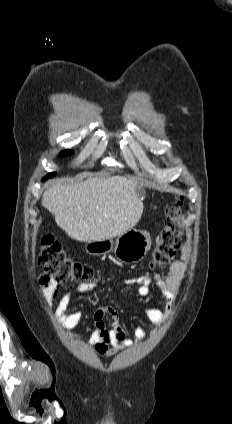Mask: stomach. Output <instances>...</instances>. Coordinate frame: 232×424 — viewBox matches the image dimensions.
Instances as JSON below:
<instances>
[{
    "label": "stomach",
    "mask_w": 232,
    "mask_h": 424,
    "mask_svg": "<svg viewBox=\"0 0 232 424\" xmlns=\"http://www.w3.org/2000/svg\"><path fill=\"white\" fill-rule=\"evenodd\" d=\"M140 193H144L142 188ZM151 237L149 233L136 229L127 232L113 239H102L89 241L85 245V250L90 255H105L114 252L115 256L125 263H136L142 260L151 247Z\"/></svg>",
    "instance_id": "0dacf381"
}]
</instances>
